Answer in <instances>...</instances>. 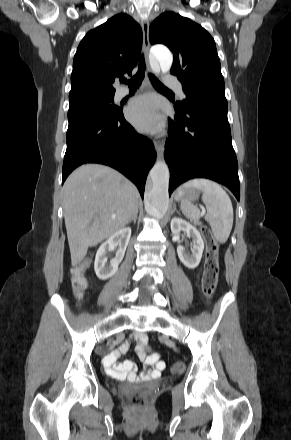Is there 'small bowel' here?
I'll return each mask as SVG.
<instances>
[{
    "label": "small bowel",
    "mask_w": 291,
    "mask_h": 440,
    "mask_svg": "<svg viewBox=\"0 0 291 440\" xmlns=\"http://www.w3.org/2000/svg\"><path fill=\"white\" fill-rule=\"evenodd\" d=\"M133 338L135 341L138 342L136 346V350L140 353L141 359L144 360L147 365L153 366V369L151 371L138 374L137 367L133 361L126 360L118 363L117 362L118 354L116 351H113V353L107 356L104 360V366L106 371L114 377H118V378L127 377L130 381H148L152 378L159 377L161 375V372L165 369V363L159 358L154 360L149 356L145 357V355L141 353L142 346L147 341V335L143 332H138L134 335ZM129 349H130L129 343H123L120 346V350L122 352H127ZM175 369L178 372H184L186 366L184 364H178L175 366Z\"/></svg>",
    "instance_id": "small-bowel-1"
}]
</instances>
